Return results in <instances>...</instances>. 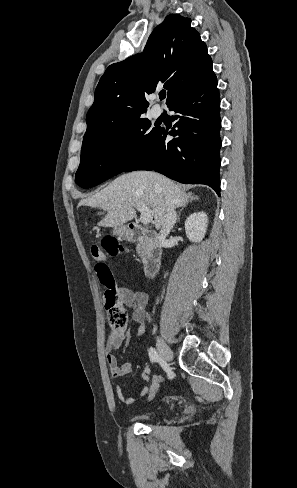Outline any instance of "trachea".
I'll list each match as a JSON object with an SVG mask.
<instances>
[{"label":"trachea","instance_id":"3493384b","mask_svg":"<svg viewBox=\"0 0 297 488\" xmlns=\"http://www.w3.org/2000/svg\"><path fill=\"white\" fill-rule=\"evenodd\" d=\"M165 97H166V91L165 90L160 91L159 98L160 99H165Z\"/></svg>","mask_w":297,"mask_h":488}]
</instances>
